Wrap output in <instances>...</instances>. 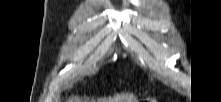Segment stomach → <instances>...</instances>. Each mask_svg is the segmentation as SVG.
I'll return each instance as SVG.
<instances>
[{"mask_svg": "<svg viewBox=\"0 0 221 102\" xmlns=\"http://www.w3.org/2000/svg\"><path fill=\"white\" fill-rule=\"evenodd\" d=\"M142 102H157V100L155 97H152V98L145 99Z\"/></svg>", "mask_w": 221, "mask_h": 102, "instance_id": "obj_1", "label": "stomach"}]
</instances>
